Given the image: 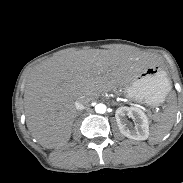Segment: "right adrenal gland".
I'll list each match as a JSON object with an SVG mask.
<instances>
[{
	"instance_id": "obj_1",
	"label": "right adrenal gland",
	"mask_w": 183,
	"mask_h": 183,
	"mask_svg": "<svg viewBox=\"0 0 183 183\" xmlns=\"http://www.w3.org/2000/svg\"><path fill=\"white\" fill-rule=\"evenodd\" d=\"M80 114H81V112H80V111H78V112H77V114H76V116H79Z\"/></svg>"
}]
</instances>
